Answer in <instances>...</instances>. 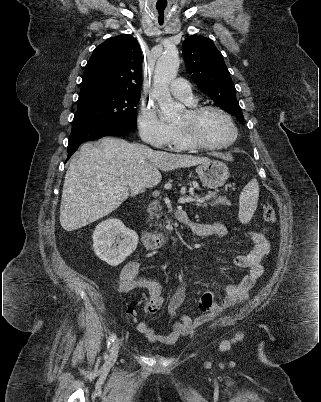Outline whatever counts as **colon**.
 I'll return each mask as SVG.
<instances>
[{
	"instance_id": "obj_1",
	"label": "colon",
	"mask_w": 321,
	"mask_h": 402,
	"mask_svg": "<svg viewBox=\"0 0 321 402\" xmlns=\"http://www.w3.org/2000/svg\"><path fill=\"white\" fill-rule=\"evenodd\" d=\"M263 219H264L266 222H273V221H274V219H275V212H274V208H273L272 205L268 204V205H266V206L264 207V209H263ZM210 307H211V301H207V302H205L204 304H202V305L200 306V309H201L202 311H207ZM129 312H130L131 315L133 314L132 311H129Z\"/></svg>"
}]
</instances>
